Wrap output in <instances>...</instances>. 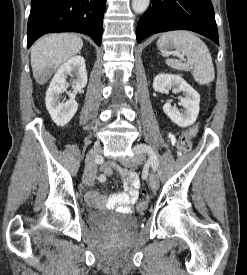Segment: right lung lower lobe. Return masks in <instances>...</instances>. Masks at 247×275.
I'll return each mask as SVG.
<instances>
[{"instance_id": "98d812e1", "label": "right lung lower lobe", "mask_w": 247, "mask_h": 275, "mask_svg": "<svg viewBox=\"0 0 247 275\" xmlns=\"http://www.w3.org/2000/svg\"><path fill=\"white\" fill-rule=\"evenodd\" d=\"M106 0H32L28 20V48L52 32H79L100 46Z\"/></svg>"}]
</instances>
